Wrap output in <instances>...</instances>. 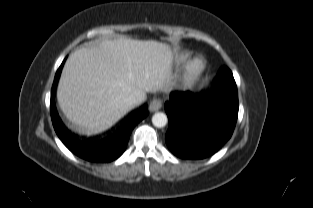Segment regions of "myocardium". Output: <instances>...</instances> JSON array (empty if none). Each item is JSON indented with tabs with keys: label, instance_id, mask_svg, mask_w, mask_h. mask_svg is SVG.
Wrapping results in <instances>:
<instances>
[{
	"label": "myocardium",
	"instance_id": "1",
	"mask_svg": "<svg viewBox=\"0 0 313 208\" xmlns=\"http://www.w3.org/2000/svg\"><path fill=\"white\" fill-rule=\"evenodd\" d=\"M205 66V61L202 57H196L190 60L182 71L179 78V85L185 89L194 87L204 73Z\"/></svg>",
	"mask_w": 313,
	"mask_h": 208
}]
</instances>
